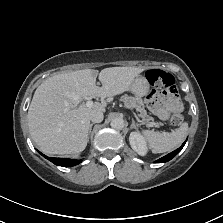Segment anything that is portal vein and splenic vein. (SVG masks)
<instances>
[{
    "mask_svg": "<svg viewBox=\"0 0 223 223\" xmlns=\"http://www.w3.org/2000/svg\"><path fill=\"white\" fill-rule=\"evenodd\" d=\"M86 106L91 108L93 106V101H87L86 102ZM128 110L131 111L133 117L135 118V121H138L139 123H142V120L141 119H138V115H136V112L135 110H133V108L131 107H128ZM145 125L148 126V127H153V128H156L157 127V124L156 123H151L149 121H146L145 122Z\"/></svg>",
    "mask_w": 223,
    "mask_h": 223,
    "instance_id": "portal-vein-and-splenic-vein-1",
    "label": "portal vein and splenic vein"
}]
</instances>
